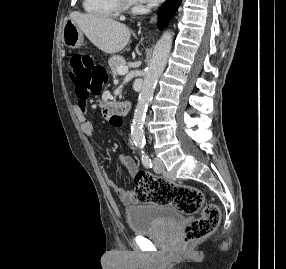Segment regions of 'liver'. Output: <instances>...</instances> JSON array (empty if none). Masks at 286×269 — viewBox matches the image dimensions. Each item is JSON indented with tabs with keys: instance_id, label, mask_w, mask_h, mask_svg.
<instances>
[{
	"instance_id": "liver-1",
	"label": "liver",
	"mask_w": 286,
	"mask_h": 269,
	"mask_svg": "<svg viewBox=\"0 0 286 269\" xmlns=\"http://www.w3.org/2000/svg\"><path fill=\"white\" fill-rule=\"evenodd\" d=\"M70 19L98 49L107 54L122 51L129 42L130 29L118 21L97 14L73 12ZM129 51V49H128Z\"/></svg>"
}]
</instances>
